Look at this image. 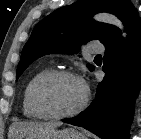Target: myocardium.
I'll use <instances>...</instances> for the list:
<instances>
[{
	"mask_svg": "<svg viewBox=\"0 0 141 139\" xmlns=\"http://www.w3.org/2000/svg\"><path fill=\"white\" fill-rule=\"evenodd\" d=\"M60 77H69L79 81L83 88V97L80 103L72 110H69L67 112H62V113H54V112H51L46 107L43 101L42 92L47 83ZM88 101H89V89L85 80L80 75L70 70H65V69L51 70L47 72L46 74H44L43 76H41L36 81L32 89L33 105L36 108V110L42 115V117L47 119L56 120V119H63V118L75 116L85 109V107L88 104Z\"/></svg>",
	"mask_w": 141,
	"mask_h": 139,
	"instance_id": "1",
	"label": "myocardium"
}]
</instances>
